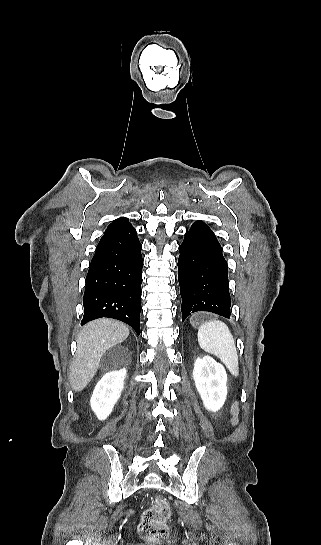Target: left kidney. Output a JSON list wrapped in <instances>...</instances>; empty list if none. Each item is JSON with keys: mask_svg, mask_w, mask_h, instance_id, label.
I'll return each mask as SVG.
<instances>
[{"mask_svg": "<svg viewBox=\"0 0 321 545\" xmlns=\"http://www.w3.org/2000/svg\"><path fill=\"white\" fill-rule=\"evenodd\" d=\"M193 379L196 389L208 411H219L227 397V373L212 357L197 359L194 363Z\"/></svg>", "mask_w": 321, "mask_h": 545, "instance_id": "obj_1", "label": "left kidney"}]
</instances>
